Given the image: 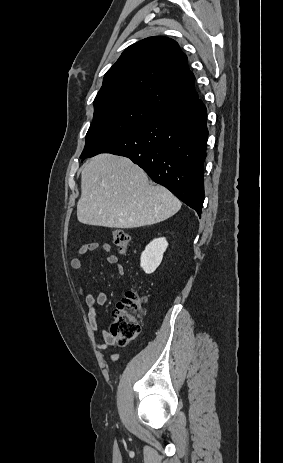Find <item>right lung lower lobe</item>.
<instances>
[{
	"instance_id": "right-lung-lower-lobe-1",
	"label": "right lung lower lobe",
	"mask_w": 283,
	"mask_h": 463,
	"mask_svg": "<svg viewBox=\"0 0 283 463\" xmlns=\"http://www.w3.org/2000/svg\"><path fill=\"white\" fill-rule=\"evenodd\" d=\"M206 112L198 97L170 106L86 157L112 153L130 158L200 216L208 138Z\"/></svg>"
}]
</instances>
